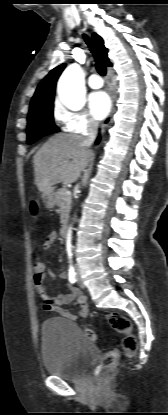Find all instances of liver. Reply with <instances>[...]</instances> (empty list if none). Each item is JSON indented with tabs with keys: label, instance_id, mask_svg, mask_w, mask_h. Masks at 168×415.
Here are the masks:
<instances>
[{
	"label": "liver",
	"instance_id": "obj_1",
	"mask_svg": "<svg viewBox=\"0 0 168 415\" xmlns=\"http://www.w3.org/2000/svg\"><path fill=\"white\" fill-rule=\"evenodd\" d=\"M93 157L80 135L61 133L51 137L33 157L38 190L44 192L60 182H75Z\"/></svg>",
	"mask_w": 168,
	"mask_h": 415
}]
</instances>
